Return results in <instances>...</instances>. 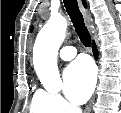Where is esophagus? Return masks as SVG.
<instances>
[{"label":"esophagus","mask_w":121,"mask_h":113,"mask_svg":"<svg viewBox=\"0 0 121 113\" xmlns=\"http://www.w3.org/2000/svg\"><path fill=\"white\" fill-rule=\"evenodd\" d=\"M78 3H79V7L83 14L86 24L90 25L92 22L91 14L89 13V11L86 8L83 7L81 0H78ZM93 101H94V97L91 99V101L89 102V104L87 105V107L85 109L87 113L90 112Z\"/></svg>","instance_id":"1"}]
</instances>
